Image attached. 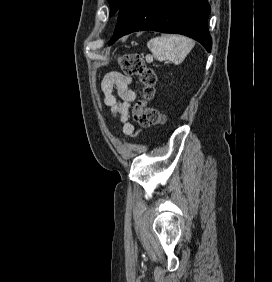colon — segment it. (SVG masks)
Returning a JSON list of instances; mask_svg holds the SVG:
<instances>
[{"instance_id":"colon-1","label":"colon","mask_w":272,"mask_h":282,"mask_svg":"<svg viewBox=\"0 0 272 282\" xmlns=\"http://www.w3.org/2000/svg\"><path fill=\"white\" fill-rule=\"evenodd\" d=\"M121 70L126 75L138 77L142 85V97L133 109L134 120L141 126L163 123L164 115L149 105L155 92V75L139 54H125L119 59Z\"/></svg>"}]
</instances>
